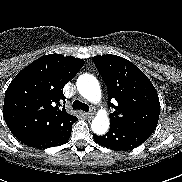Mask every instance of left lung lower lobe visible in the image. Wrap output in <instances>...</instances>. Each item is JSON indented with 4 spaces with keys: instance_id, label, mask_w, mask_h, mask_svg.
I'll list each match as a JSON object with an SVG mask.
<instances>
[{
    "instance_id": "0a47b994",
    "label": "left lung lower lobe",
    "mask_w": 182,
    "mask_h": 182,
    "mask_svg": "<svg viewBox=\"0 0 182 182\" xmlns=\"http://www.w3.org/2000/svg\"><path fill=\"white\" fill-rule=\"evenodd\" d=\"M152 132L120 125H110L109 131L103 136L93 135L96 143L113 150H132L145 142Z\"/></svg>"
}]
</instances>
